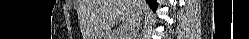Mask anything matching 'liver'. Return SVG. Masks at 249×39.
Returning <instances> with one entry per match:
<instances>
[{"label": "liver", "mask_w": 249, "mask_h": 39, "mask_svg": "<svg viewBox=\"0 0 249 39\" xmlns=\"http://www.w3.org/2000/svg\"><path fill=\"white\" fill-rule=\"evenodd\" d=\"M133 0H81L79 18L86 39L108 37L111 27L122 22L128 29L134 19L137 6ZM142 11L146 8L140 1Z\"/></svg>", "instance_id": "liver-1"}]
</instances>
